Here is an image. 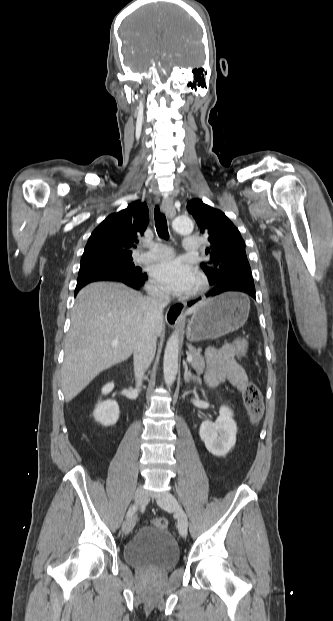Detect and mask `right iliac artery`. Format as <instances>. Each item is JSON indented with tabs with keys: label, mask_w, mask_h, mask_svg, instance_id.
Here are the masks:
<instances>
[{
	"label": "right iliac artery",
	"mask_w": 333,
	"mask_h": 621,
	"mask_svg": "<svg viewBox=\"0 0 333 621\" xmlns=\"http://www.w3.org/2000/svg\"><path fill=\"white\" fill-rule=\"evenodd\" d=\"M138 505L134 504L133 506H131L127 512V518L131 517L137 510Z\"/></svg>",
	"instance_id": "obj_1"
}]
</instances>
